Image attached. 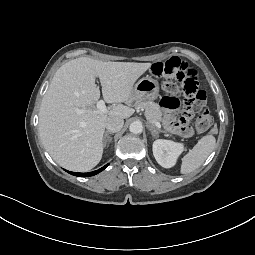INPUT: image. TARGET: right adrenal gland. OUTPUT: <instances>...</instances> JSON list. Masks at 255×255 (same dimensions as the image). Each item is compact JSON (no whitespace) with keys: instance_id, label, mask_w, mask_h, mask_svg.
Listing matches in <instances>:
<instances>
[{"instance_id":"right-adrenal-gland-1","label":"right adrenal gland","mask_w":255,"mask_h":255,"mask_svg":"<svg viewBox=\"0 0 255 255\" xmlns=\"http://www.w3.org/2000/svg\"><path fill=\"white\" fill-rule=\"evenodd\" d=\"M109 134H111L110 132H106L104 135V147H108L110 141H111V137L109 136Z\"/></svg>"}]
</instances>
